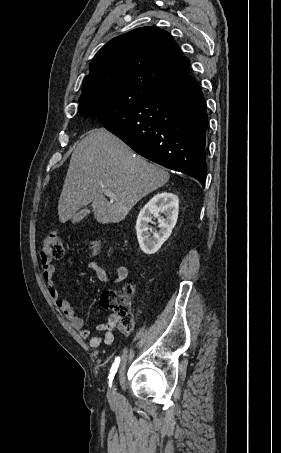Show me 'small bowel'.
Instances as JSON below:
<instances>
[{
    "mask_svg": "<svg viewBox=\"0 0 281 453\" xmlns=\"http://www.w3.org/2000/svg\"><path fill=\"white\" fill-rule=\"evenodd\" d=\"M89 267L97 275L100 281L104 283L110 281L111 276H109L105 272L100 264L91 263ZM54 273V266L48 260H43L41 263V276L47 286L49 297L56 302L57 307L70 321L72 326L79 331L80 336L83 339L88 340L89 346L92 349H98L102 344H105L106 346H112L114 342V335L112 331L109 330V328L115 323V317H110L107 324L99 323L97 325V331L101 332V335H92L91 332L85 328L84 318L79 316L73 305L62 297V294L55 282ZM127 276L128 269L126 266L122 265L117 269V272L112 279L115 282L119 283L126 280Z\"/></svg>",
    "mask_w": 281,
    "mask_h": 453,
    "instance_id": "1",
    "label": "small bowel"
}]
</instances>
